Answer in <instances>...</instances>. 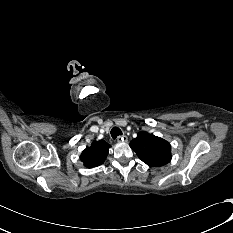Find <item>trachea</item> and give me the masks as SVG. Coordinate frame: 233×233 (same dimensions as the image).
I'll use <instances>...</instances> for the list:
<instances>
[{"instance_id": "3493384b", "label": "trachea", "mask_w": 233, "mask_h": 233, "mask_svg": "<svg viewBox=\"0 0 233 233\" xmlns=\"http://www.w3.org/2000/svg\"><path fill=\"white\" fill-rule=\"evenodd\" d=\"M122 135V131L118 127H113L111 130V136L113 139H116L117 136Z\"/></svg>"}]
</instances>
